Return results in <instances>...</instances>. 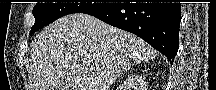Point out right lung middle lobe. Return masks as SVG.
<instances>
[{"mask_svg": "<svg viewBox=\"0 0 216 90\" xmlns=\"http://www.w3.org/2000/svg\"><path fill=\"white\" fill-rule=\"evenodd\" d=\"M107 4L109 3H37L32 11L35 23L31 28L30 35L60 17L72 13H87Z\"/></svg>", "mask_w": 216, "mask_h": 90, "instance_id": "1", "label": "right lung middle lobe"}]
</instances>
